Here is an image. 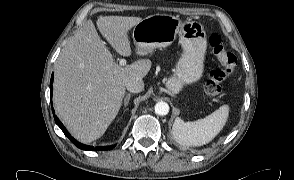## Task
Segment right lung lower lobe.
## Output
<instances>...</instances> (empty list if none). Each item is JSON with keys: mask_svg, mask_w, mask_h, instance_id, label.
I'll use <instances>...</instances> for the list:
<instances>
[{"mask_svg": "<svg viewBox=\"0 0 294 180\" xmlns=\"http://www.w3.org/2000/svg\"><path fill=\"white\" fill-rule=\"evenodd\" d=\"M52 83H53V74H52L51 81H50V98L52 97ZM52 111L54 113L53 109H52ZM54 119H55L56 124L63 131V133L71 140V142L74 145H76L80 149L93 151V150H107V149H112L114 147V146H104V147L94 148L93 146L83 145V144L77 142L73 137L70 136V134L67 132V130L65 129V127L63 126V124L60 122V120L57 118L56 115H54Z\"/></svg>", "mask_w": 294, "mask_h": 180, "instance_id": "98d812e1", "label": "right lung lower lobe"}]
</instances>
